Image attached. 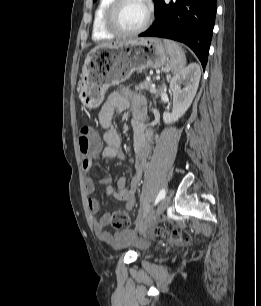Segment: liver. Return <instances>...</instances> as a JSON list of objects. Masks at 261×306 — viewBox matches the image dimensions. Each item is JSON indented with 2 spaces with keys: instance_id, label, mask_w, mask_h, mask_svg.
Here are the masks:
<instances>
[{
  "instance_id": "1",
  "label": "liver",
  "mask_w": 261,
  "mask_h": 306,
  "mask_svg": "<svg viewBox=\"0 0 261 306\" xmlns=\"http://www.w3.org/2000/svg\"><path fill=\"white\" fill-rule=\"evenodd\" d=\"M107 45H112V43H104V44H101L99 46H107Z\"/></svg>"
}]
</instances>
